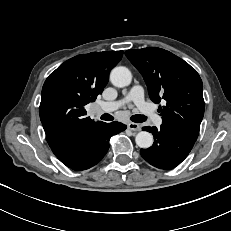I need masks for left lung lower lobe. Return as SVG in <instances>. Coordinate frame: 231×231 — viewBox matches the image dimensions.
I'll list each match as a JSON object with an SVG mask.
<instances>
[{
    "mask_svg": "<svg viewBox=\"0 0 231 231\" xmlns=\"http://www.w3.org/2000/svg\"><path fill=\"white\" fill-rule=\"evenodd\" d=\"M154 136V143L148 149H141V156L151 165L159 169L169 170L178 166L189 154L195 141L173 128L161 125L143 127Z\"/></svg>",
    "mask_w": 231,
    "mask_h": 231,
    "instance_id": "obj_1",
    "label": "left lung lower lobe"
}]
</instances>
